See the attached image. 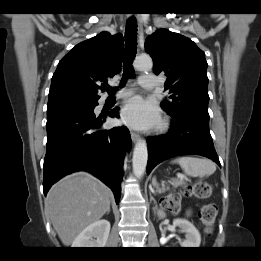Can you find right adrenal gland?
Instances as JSON below:
<instances>
[{"label": "right adrenal gland", "mask_w": 261, "mask_h": 261, "mask_svg": "<svg viewBox=\"0 0 261 261\" xmlns=\"http://www.w3.org/2000/svg\"><path fill=\"white\" fill-rule=\"evenodd\" d=\"M110 213V208L108 209V211H107V214H109Z\"/></svg>", "instance_id": "1"}]
</instances>
